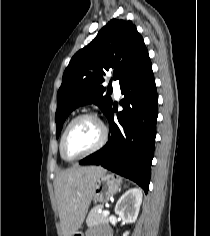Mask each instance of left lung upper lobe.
Segmentation results:
<instances>
[{"mask_svg": "<svg viewBox=\"0 0 210 236\" xmlns=\"http://www.w3.org/2000/svg\"><path fill=\"white\" fill-rule=\"evenodd\" d=\"M147 48L136 26L125 19H112L94 40L78 51L65 69L57 94L56 137L67 116L78 106L95 103L107 116L112 100L103 87L104 75L112 70L120 86L147 61Z\"/></svg>", "mask_w": 210, "mask_h": 236, "instance_id": "obj_1", "label": "left lung upper lobe"}]
</instances>
